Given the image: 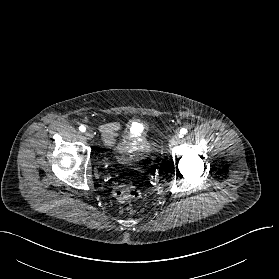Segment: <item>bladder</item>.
<instances>
[{
  "instance_id": "31cf9c89",
  "label": "bladder",
  "mask_w": 279,
  "mask_h": 279,
  "mask_svg": "<svg viewBox=\"0 0 279 279\" xmlns=\"http://www.w3.org/2000/svg\"><path fill=\"white\" fill-rule=\"evenodd\" d=\"M145 127L139 122L130 124L128 134L126 136V148L133 149L144 143Z\"/></svg>"
}]
</instances>
